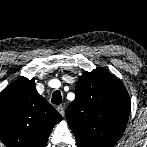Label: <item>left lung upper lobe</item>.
<instances>
[{"mask_svg": "<svg viewBox=\"0 0 147 147\" xmlns=\"http://www.w3.org/2000/svg\"><path fill=\"white\" fill-rule=\"evenodd\" d=\"M66 118L78 147H113L128 122L130 98L113 74L96 68L80 76Z\"/></svg>", "mask_w": 147, "mask_h": 147, "instance_id": "obj_1", "label": "left lung upper lobe"}]
</instances>
